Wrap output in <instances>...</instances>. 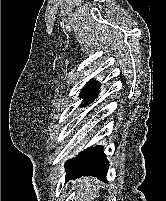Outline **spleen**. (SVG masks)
Segmentation results:
<instances>
[{"mask_svg":"<svg viewBox=\"0 0 166 201\" xmlns=\"http://www.w3.org/2000/svg\"><path fill=\"white\" fill-rule=\"evenodd\" d=\"M82 182L83 187L77 192L76 198H83L84 201L94 200L97 197V191L99 190V186H95V184H98L97 179L85 178Z\"/></svg>","mask_w":166,"mask_h":201,"instance_id":"spleen-1","label":"spleen"}]
</instances>
